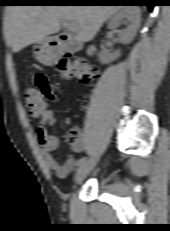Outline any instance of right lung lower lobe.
<instances>
[{"label": "right lung lower lobe", "mask_w": 170, "mask_h": 231, "mask_svg": "<svg viewBox=\"0 0 170 231\" xmlns=\"http://www.w3.org/2000/svg\"><path fill=\"white\" fill-rule=\"evenodd\" d=\"M140 2H141L140 5H146L150 10H152L153 7L155 6L153 0H141ZM75 5H88V4H86V2H75Z\"/></svg>", "instance_id": "right-lung-lower-lobe-1"}]
</instances>
